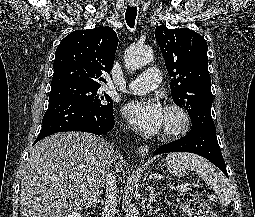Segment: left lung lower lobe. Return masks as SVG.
<instances>
[{
	"instance_id": "1",
	"label": "left lung lower lobe",
	"mask_w": 255,
	"mask_h": 217,
	"mask_svg": "<svg viewBox=\"0 0 255 217\" xmlns=\"http://www.w3.org/2000/svg\"><path fill=\"white\" fill-rule=\"evenodd\" d=\"M167 152H190L198 154L217 166L226 176V165L217 141L214 124L203 123L192 127V130L181 139L157 148L153 155Z\"/></svg>"
}]
</instances>
